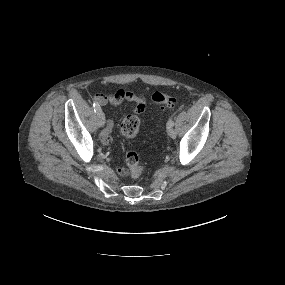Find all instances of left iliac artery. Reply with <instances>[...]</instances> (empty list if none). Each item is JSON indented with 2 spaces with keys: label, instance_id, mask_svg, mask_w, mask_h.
<instances>
[{
  "label": "left iliac artery",
  "instance_id": "44dca946",
  "mask_svg": "<svg viewBox=\"0 0 285 285\" xmlns=\"http://www.w3.org/2000/svg\"><path fill=\"white\" fill-rule=\"evenodd\" d=\"M174 125V121L173 120H169L168 122H167V126L168 127H171V126H173Z\"/></svg>",
  "mask_w": 285,
  "mask_h": 285
}]
</instances>
